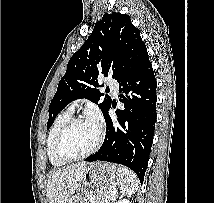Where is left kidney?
Returning <instances> with one entry per match:
<instances>
[{"label": "left kidney", "mask_w": 214, "mask_h": 203, "mask_svg": "<svg viewBox=\"0 0 214 203\" xmlns=\"http://www.w3.org/2000/svg\"><path fill=\"white\" fill-rule=\"evenodd\" d=\"M116 203H130L129 200H126V199H122V200H119L118 202Z\"/></svg>", "instance_id": "5707ae66"}]
</instances>
